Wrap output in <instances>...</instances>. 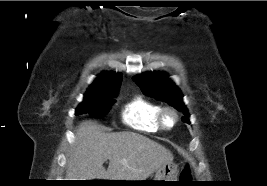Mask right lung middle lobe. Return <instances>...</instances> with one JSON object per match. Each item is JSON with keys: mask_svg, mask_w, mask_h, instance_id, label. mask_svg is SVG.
Masks as SVG:
<instances>
[{"mask_svg": "<svg viewBox=\"0 0 267 186\" xmlns=\"http://www.w3.org/2000/svg\"><path fill=\"white\" fill-rule=\"evenodd\" d=\"M118 91L109 92H86L83 102L76 109V115L89 114L91 117L100 118L105 116Z\"/></svg>", "mask_w": 267, "mask_h": 186, "instance_id": "right-lung-middle-lobe-1", "label": "right lung middle lobe"}]
</instances>
